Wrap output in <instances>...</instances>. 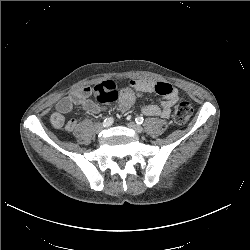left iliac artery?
Returning a JSON list of instances; mask_svg holds the SVG:
<instances>
[{
	"label": "left iliac artery",
	"instance_id": "44dca946",
	"mask_svg": "<svg viewBox=\"0 0 250 250\" xmlns=\"http://www.w3.org/2000/svg\"><path fill=\"white\" fill-rule=\"evenodd\" d=\"M135 121H136L137 124H142L143 121H144V119H143V117H141V116H137V117L135 118Z\"/></svg>",
	"mask_w": 250,
	"mask_h": 250
}]
</instances>
